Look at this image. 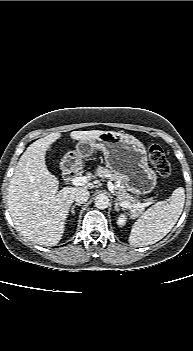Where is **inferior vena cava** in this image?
<instances>
[{
	"mask_svg": "<svg viewBox=\"0 0 193 351\" xmlns=\"http://www.w3.org/2000/svg\"><path fill=\"white\" fill-rule=\"evenodd\" d=\"M89 196H90V193L88 190L81 189L75 194L74 200L79 204H83L87 202V200L89 199Z\"/></svg>",
	"mask_w": 193,
	"mask_h": 351,
	"instance_id": "inferior-vena-cava-1",
	"label": "inferior vena cava"
}]
</instances>
